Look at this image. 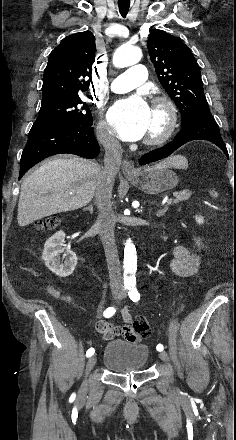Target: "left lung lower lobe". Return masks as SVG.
I'll list each match as a JSON object with an SVG mask.
<instances>
[{
    "label": "left lung lower lobe",
    "instance_id": "obj_1",
    "mask_svg": "<svg viewBox=\"0 0 236 440\" xmlns=\"http://www.w3.org/2000/svg\"><path fill=\"white\" fill-rule=\"evenodd\" d=\"M192 140H207L217 145L226 156L228 151L223 142L218 125L209 110L202 111L193 117L174 138V140L162 148L155 149L149 153L144 154L139 160L140 165H145L151 162L161 160L185 143Z\"/></svg>",
    "mask_w": 236,
    "mask_h": 440
}]
</instances>
